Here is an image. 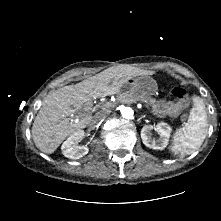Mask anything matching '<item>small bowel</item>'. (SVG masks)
Segmentation results:
<instances>
[{"mask_svg":"<svg viewBox=\"0 0 221 221\" xmlns=\"http://www.w3.org/2000/svg\"><path fill=\"white\" fill-rule=\"evenodd\" d=\"M187 103L181 101H163L156 105L155 111L160 116H177L180 111L187 107Z\"/></svg>","mask_w":221,"mask_h":221,"instance_id":"c3829d8e","label":"small bowel"}]
</instances>
